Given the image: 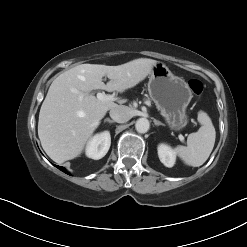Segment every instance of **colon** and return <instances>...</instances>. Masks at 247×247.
<instances>
[{"label":"colon","instance_id":"5ec220e1","mask_svg":"<svg viewBox=\"0 0 247 247\" xmlns=\"http://www.w3.org/2000/svg\"><path fill=\"white\" fill-rule=\"evenodd\" d=\"M189 87L192 90V92L196 95H200L203 91V84L197 79L190 80Z\"/></svg>","mask_w":247,"mask_h":247}]
</instances>
